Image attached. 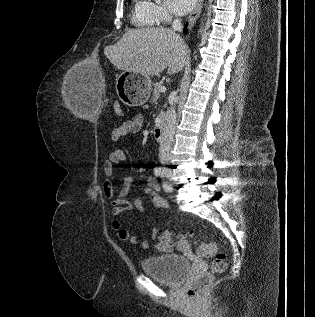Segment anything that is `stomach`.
<instances>
[{
    "instance_id": "0dacf381",
    "label": "stomach",
    "mask_w": 315,
    "mask_h": 317,
    "mask_svg": "<svg viewBox=\"0 0 315 317\" xmlns=\"http://www.w3.org/2000/svg\"><path fill=\"white\" fill-rule=\"evenodd\" d=\"M152 90L150 77L135 71H123L116 78V92L123 104L137 107L145 104Z\"/></svg>"
}]
</instances>
